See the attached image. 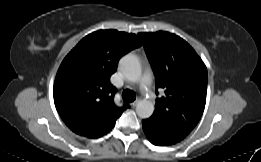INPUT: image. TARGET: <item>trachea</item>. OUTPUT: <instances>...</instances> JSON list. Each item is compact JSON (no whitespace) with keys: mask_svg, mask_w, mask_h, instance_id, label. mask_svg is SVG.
<instances>
[{"mask_svg":"<svg viewBox=\"0 0 261 162\" xmlns=\"http://www.w3.org/2000/svg\"><path fill=\"white\" fill-rule=\"evenodd\" d=\"M122 98L126 102H133L136 99V95L131 90H124L122 93Z\"/></svg>","mask_w":261,"mask_h":162,"instance_id":"obj_1","label":"trachea"}]
</instances>
